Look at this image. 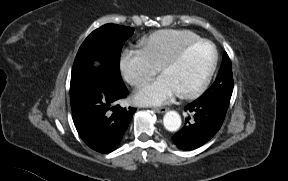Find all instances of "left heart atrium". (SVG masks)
<instances>
[{
	"label": "left heart atrium",
	"mask_w": 288,
	"mask_h": 181,
	"mask_svg": "<svg viewBox=\"0 0 288 181\" xmlns=\"http://www.w3.org/2000/svg\"><path fill=\"white\" fill-rule=\"evenodd\" d=\"M178 94L175 87L163 75L138 89L135 99L143 105H161L169 102Z\"/></svg>",
	"instance_id": "39dd6f15"
}]
</instances>
